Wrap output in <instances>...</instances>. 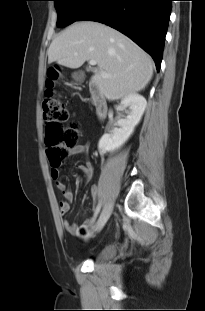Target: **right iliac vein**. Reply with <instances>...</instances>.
<instances>
[{"label":"right iliac vein","instance_id":"63e3f726","mask_svg":"<svg viewBox=\"0 0 205 311\" xmlns=\"http://www.w3.org/2000/svg\"><path fill=\"white\" fill-rule=\"evenodd\" d=\"M112 205H106L103 209V211L100 214V217L98 221L96 222L94 231L99 232L102 230V228L105 226L106 222L108 221L111 213H112Z\"/></svg>","mask_w":205,"mask_h":311}]
</instances>
